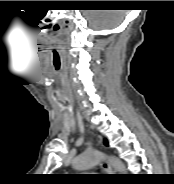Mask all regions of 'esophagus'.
I'll use <instances>...</instances> for the list:
<instances>
[{"mask_svg": "<svg viewBox=\"0 0 174 184\" xmlns=\"http://www.w3.org/2000/svg\"><path fill=\"white\" fill-rule=\"evenodd\" d=\"M101 168H102L105 172H107V173H112V168L110 167V165H109L108 162H106V161H103V162L101 163Z\"/></svg>", "mask_w": 174, "mask_h": 184, "instance_id": "esophagus-1", "label": "esophagus"}]
</instances>
